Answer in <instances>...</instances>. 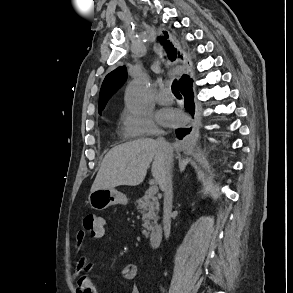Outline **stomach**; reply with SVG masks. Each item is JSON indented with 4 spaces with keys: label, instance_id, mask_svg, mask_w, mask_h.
<instances>
[{
    "label": "stomach",
    "instance_id": "obj_1",
    "mask_svg": "<svg viewBox=\"0 0 293 293\" xmlns=\"http://www.w3.org/2000/svg\"><path fill=\"white\" fill-rule=\"evenodd\" d=\"M90 206L98 211L104 210L116 204H127L128 199L125 194L115 189H97L89 194Z\"/></svg>",
    "mask_w": 293,
    "mask_h": 293
}]
</instances>
